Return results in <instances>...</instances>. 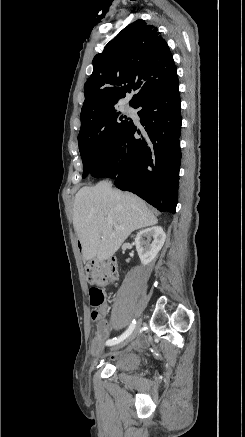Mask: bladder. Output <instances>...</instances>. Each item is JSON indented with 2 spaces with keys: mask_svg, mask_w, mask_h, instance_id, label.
Wrapping results in <instances>:
<instances>
[{
  "mask_svg": "<svg viewBox=\"0 0 245 437\" xmlns=\"http://www.w3.org/2000/svg\"><path fill=\"white\" fill-rule=\"evenodd\" d=\"M142 363V357L137 353H124L113 363L119 372L129 373L137 370Z\"/></svg>",
  "mask_w": 245,
  "mask_h": 437,
  "instance_id": "31cf9c89",
  "label": "bladder"
}]
</instances>
